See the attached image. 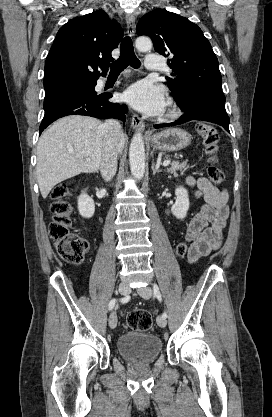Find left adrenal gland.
Returning a JSON list of instances; mask_svg holds the SVG:
<instances>
[{
  "mask_svg": "<svg viewBox=\"0 0 272 417\" xmlns=\"http://www.w3.org/2000/svg\"><path fill=\"white\" fill-rule=\"evenodd\" d=\"M152 171H153V175H155L156 173H160L162 170H160L158 167H155L154 162L152 163Z\"/></svg>",
  "mask_w": 272,
  "mask_h": 417,
  "instance_id": "1",
  "label": "left adrenal gland"
}]
</instances>
